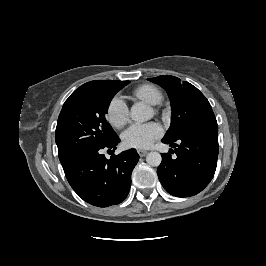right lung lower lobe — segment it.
Masks as SVG:
<instances>
[{
    "mask_svg": "<svg viewBox=\"0 0 266 266\" xmlns=\"http://www.w3.org/2000/svg\"><path fill=\"white\" fill-rule=\"evenodd\" d=\"M118 136L107 145L78 155L63 166L73 190L84 201L98 207L121 203L131 186V173L139 160L136 150L130 149L106 159L101 149H116Z\"/></svg>",
    "mask_w": 266,
    "mask_h": 266,
    "instance_id": "98d812e1",
    "label": "right lung lower lobe"
}]
</instances>
